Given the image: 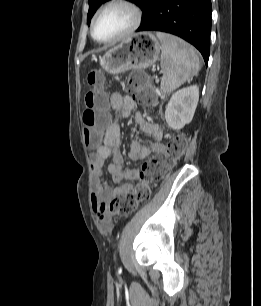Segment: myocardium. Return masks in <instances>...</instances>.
<instances>
[{
  "label": "myocardium",
  "instance_id": "f54148a6",
  "mask_svg": "<svg viewBox=\"0 0 261 306\" xmlns=\"http://www.w3.org/2000/svg\"><path fill=\"white\" fill-rule=\"evenodd\" d=\"M113 6H123L127 9H129L132 13V22L130 24V26L121 34L109 38V39H105V40H100L98 38H96L95 36V27H96V23L97 20L99 18V16L108 8L113 7ZM142 18H143V12L141 7L134 2L133 0H110L108 2H106L103 6H101L96 13L93 16L92 22H91V27H90V33L92 38L99 42V43H112L118 40H121L129 35H131L133 32H135L139 26L141 25L142 22Z\"/></svg>",
  "mask_w": 261,
  "mask_h": 306
}]
</instances>
